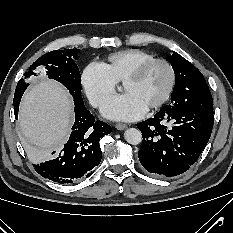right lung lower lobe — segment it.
<instances>
[{
    "mask_svg": "<svg viewBox=\"0 0 233 233\" xmlns=\"http://www.w3.org/2000/svg\"><path fill=\"white\" fill-rule=\"evenodd\" d=\"M22 95L14 94L16 119ZM74 105L75 122L67 143L57 153L54 151L41 160L47 161L34 166L44 178L64 184L75 183L93 173L102 157L99 141L111 133V127L105 122L95 121L84 103L74 101Z\"/></svg>",
    "mask_w": 233,
    "mask_h": 233,
    "instance_id": "right-lung-lower-lobe-1",
    "label": "right lung lower lobe"
}]
</instances>
